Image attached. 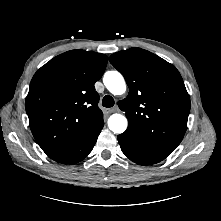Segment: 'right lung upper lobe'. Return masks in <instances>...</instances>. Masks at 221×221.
Segmentation results:
<instances>
[{
	"instance_id": "obj_1",
	"label": "right lung upper lobe",
	"mask_w": 221,
	"mask_h": 221,
	"mask_svg": "<svg viewBox=\"0 0 221 221\" xmlns=\"http://www.w3.org/2000/svg\"><path fill=\"white\" fill-rule=\"evenodd\" d=\"M107 61L101 53L71 50L33 76L25 107L32 134L46 155L76 145L103 118L94 84Z\"/></svg>"
}]
</instances>
